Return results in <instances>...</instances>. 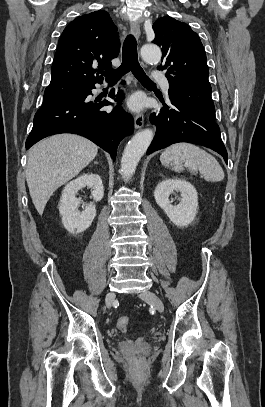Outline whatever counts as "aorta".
<instances>
[{"label":"aorta","mask_w":265,"mask_h":407,"mask_svg":"<svg viewBox=\"0 0 265 407\" xmlns=\"http://www.w3.org/2000/svg\"><path fill=\"white\" fill-rule=\"evenodd\" d=\"M141 56L145 62L155 63L161 59L159 47L146 44L141 48ZM154 137L151 129L137 132L126 145L121 159V173L124 177H131L136 170L138 162L148 149Z\"/></svg>","instance_id":"obj_1"}]
</instances>
